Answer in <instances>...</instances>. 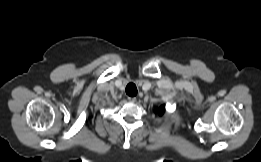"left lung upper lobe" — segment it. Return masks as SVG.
<instances>
[{
    "label": "left lung upper lobe",
    "mask_w": 261,
    "mask_h": 162,
    "mask_svg": "<svg viewBox=\"0 0 261 162\" xmlns=\"http://www.w3.org/2000/svg\"><path fill=\"white\" fill-rule=\"evenodd\" d=\"M155 112H157L159 115H163L165 112V105L160 106Z\"/></svg>",
    "instance_id": "obj_1"
}]
</instances>
